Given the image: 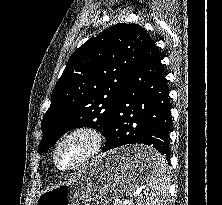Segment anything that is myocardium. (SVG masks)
<instances>
[{"instance_id":"1","label":"myocardium","mask_w":222,"mask_h":205,"mask_svg":"<svg viewBox=\"0 0 222 205\" xmlns=\"http://www.w3.org/2000/svg\"><path fill=\"white\" fill-rule=\"evenodd\" d=\"M75 136H84L87 137L90 140V146L89 149L86 151V153L73 165L69 167H62L58 163L57 159V153L60 148V146L66 142L67 140L75 137ZM103 145V136L101 132L93 127L88 125H80L76 126L69 131H67L54 145L52 150V160L55 165V167L61 171V172H70L77 170L81 167H83L85 164H87L89 161H91L94 157L97 156V154L100 152Z\"/></svg>"}]
</instances>
